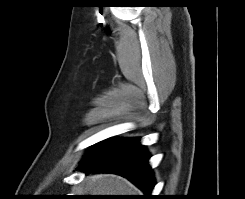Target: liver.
Masks as SVG:
<instances>
[{"mask_svg": "<svg viewBox=\"0 0 245 199\" xmlns=\"http://www.w3.org/2000/svg\"><path fill=\"white\" fill-rule=\"evenodd\" d=\"M91 195H138L139 190L128 180L114 174H93L87 177Z\"/></svg>", "mask_w": 245, "mask_h": 199, "instance_id": "obj_1", "label": "liver"}]
</instances>
